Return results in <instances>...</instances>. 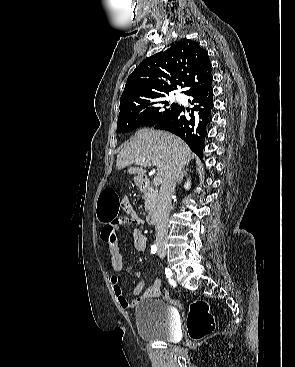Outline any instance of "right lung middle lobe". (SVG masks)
Instances as JSON below:
<instances>
[{
	"label": "right lung middle lobe",
	"instance_id": "1",
	"mask_svg": "<svg viewBox=\"0 0 295 367\" xmlns=\"http://www.w3.org/2000/svg\"><path fill=\"white\" fill-rule=\"evenodd\" d=\"M178 108V104H170L165 100V95L130 102L119 113L117 133L128 132L142 126H153Z\"/></svg>",
	"mask_w": 295,
	"mask_h": 367
}]
</instances>
